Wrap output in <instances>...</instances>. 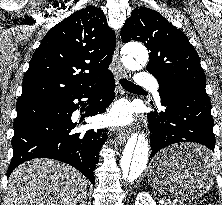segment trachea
<instances>
[{"instance_id":"obj_1","label":"trachea","mask_w":222,"mask_h":205,"mask_svg":"<svg viewBox=\"0 0 222 205\" xmlns=\"http://www.w3.org/2000/svg\"><path fill=\"white\" fill-rule=\"evenodd\" d=\"M120 84L127 90H143L141 87L124 78L120 79Z\"/></svg>"}]
</instances>
